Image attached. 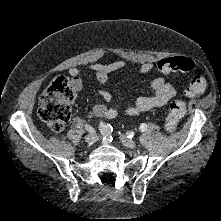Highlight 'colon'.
<instances>
[{
    "mask_svg": "<svg viewBox=\"0 0 221 221\" xmlns=\"http://www.w3.org/2000/svg\"><path fill=\"white\" fill-rule=\"evenodd\" d=\"M158 70L163 74L173 72L188 73L193 70L194 62L184 56L162 59L157 63ZM206 89V80L201 75L191 78L186 95L196 97ZM77 98V90L65 77L56 78L43 92L39 99L38 115L42 121L55 133L62 132L71 117V105ZM186 106L183 101L171 104L164 123V130L168 134L175 132L178 123L184 116Z\"/></svg>",
    "mask_w": 221,
    "mask_h": 221,
    "instance_id": "obj_1",
    "label": "colon"
}]
</instances>
